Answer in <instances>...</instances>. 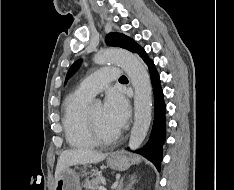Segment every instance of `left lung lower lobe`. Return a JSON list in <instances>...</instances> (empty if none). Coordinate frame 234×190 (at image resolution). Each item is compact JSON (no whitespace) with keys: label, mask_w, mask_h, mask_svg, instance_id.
I'll return each mask as SVG.
<instances>
[{"label":"left lung lower lobe","mask_w":234,"mask_h":190,"mask_svg":"<svg viewBox=\"0 0 234 190\" xmlns=\"http://www.w3.org/2000/svg\"><path fill=\"white\" fill-rule=\"evenodd\" d=\"M144 60L149 68L151 74V81L154 90V123L151 131V136L147 144L136 152L143 155L151 161L160 171V164L162 161V146L165 142L166 135V107L163 99V92L160 85V78L156 71L153 61L147 56L143 48H138L135 52Z\"/></svg>","instance_id":"1"}]
</instances>
